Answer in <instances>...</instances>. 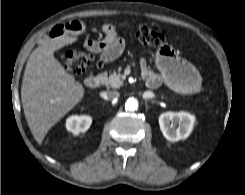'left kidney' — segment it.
Segmentation results:
<instances>
[{
  "label": "left kidney",
  "mask_w": 245,
  "mask_h": 195,
  "mask_svg": "<svg viewBox=\"0 0 245 195\" xmlns=\"http://www.w3.org/2000/svg\"><path fill=\"white\" fill-rule=\"evenodd\" d=\"M195 122V116L187 112H165L159 117L160 129L163 136L171 142L186 139Z\"/></svg>",
  "instance_id": "5707ae66"
}]
</instances>
